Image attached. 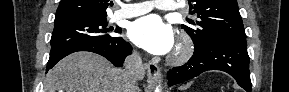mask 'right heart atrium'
I'll use <instances>...</instances> for the list:
<instances>
[{"mask_svg": "<svg viewBox=\"0 0 289 92\" xmlns=\"http://www.w3.org/2000/svg\"><path fill=\"white\" fill-rule=\"evenodd\" d=\"M133 54H134V56H135V57H137V56H138V53H137V52H134Z\"/></svg>", "mask_w": 289, "mask_h": 92, "instance_id": "d8ad5b80", "label": "right heart atrium"}]
</instances>
